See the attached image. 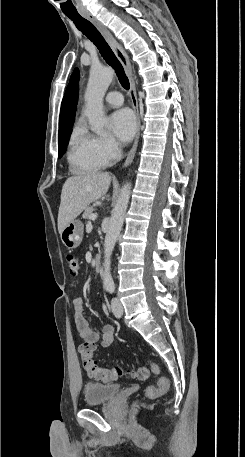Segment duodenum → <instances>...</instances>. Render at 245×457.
Returning a JSON list of instances; mask_svg holds the SVG:
<instances>
[{
    "instance_id": "obj_1",
    "label": "duodenum",
    "mask_w": 245,
    "mask_h": 457,
    "mask_svg": "<svg viewBox=\"0 0 245 457\" xmlns=\"http://www.w3.org/2000/svg\"><path fill=\"white\" fill-rule=\"evenodd\" d=\"M101 265H102V257L100 255H96L93 258V266L96 270H99L101 268Z\"/></svg>"
}]
</instances>
